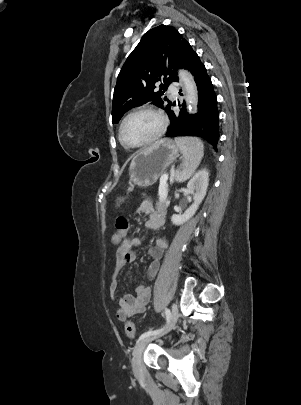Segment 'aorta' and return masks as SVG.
<instances>
[{"label":"aorta","instance_id":"762f6f07","mask_svg":"<svg viewBox=\"0 0 301 405\" xmlns=\"http://www.w3.org/2000/svg\"><path fill=\"white\" fill-rule=\"evenodd\" d=\"M179 77L184 83L186 91V101L191 111L197 110V87L192 75L186 70L179 71Z\"/></svg>","mask_w":301,"mask_h":405}]
</instances>
